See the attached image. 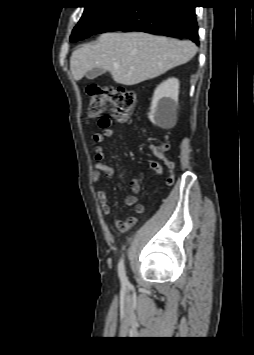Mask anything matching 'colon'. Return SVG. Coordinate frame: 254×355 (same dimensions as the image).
<instances>
[{
    "label": "colon",
    "instance_id": "5ec220e1",
    "mask_svg": "<svg viewBox=\"0 0 254 355\" xmlns=\"http://www.w3.org/2000/svg\"><path fill=\"white\" fill-rule=\"evenodd\" d=\"M89 95V103L87 106L86 117L88 120L99 119V124L102 125L105 118L102 115L106 105L109 104L112 108L113 118L119 123L130 122L134 107H135V92L125 87H99L89 85L87 87ZM167 144L158 146V149H165ZM174 173L171 172L166 180L167 185L174 182Z\"/></svg>",
    "mask_w": 254,
    "mask_h": 355
}]
</instances>
